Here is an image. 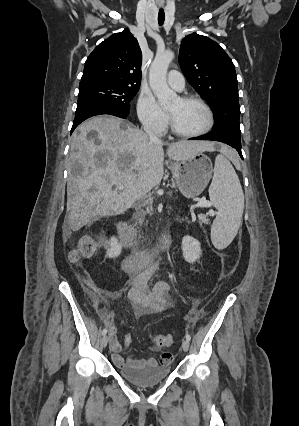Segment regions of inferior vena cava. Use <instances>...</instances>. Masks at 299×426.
I'll return each mask as SVG.
<instances>
[{
	"label": "inferior vena cava",
	"instance_id": "602c4592",
	"mask_svg": "<svg viewBox=\"0 0 299 426\" xmlns=\"http://www.w3.org/2000/svg\"><path fill=\"white\" fill-rule=\"evenodd\" d=\"M145 132L149 138V141L151 143H159L161 142L160 139L157 137V135L153 132V130L150 127L145 128Z\"/></svg>",
	"mask_w": 299,
	"mask_h": 426
}]
</instances>
